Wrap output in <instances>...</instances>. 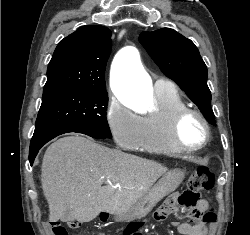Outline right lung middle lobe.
<instances>
[{"label":"right lung middle lobe","mask_w":250,"mask_h":235,"mask_svg":"<svg viewBox=\"0 0 250 235\" xmlns=\"http://www.w3.org/2000/svg\"><path fill=\"white\" fill-rule=\"evenodd\" d=\"M106 89L70 90L42 98L35 127L66 124L111 138Z\"/></svg>","instance_id":"1"}]
</instances>
